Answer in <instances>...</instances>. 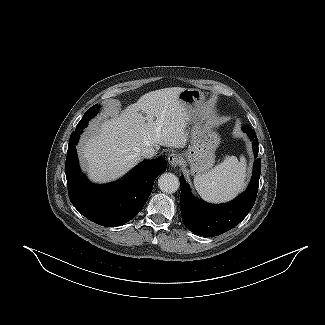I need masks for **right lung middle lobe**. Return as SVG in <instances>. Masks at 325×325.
<instances>
[{
    "instance_id": "1",
    "label": "right lung middle lobe",
    "mask_w": 325,
    "mask_h": 325,
    "mask_svg": "<svg viewBox=\"0 0 325 325\" xmlns=\"http://www.w3.org/2000/svg\"><path fill=\"white\" fill-rule=\"evenodd\" d=\"M99 107H100L99 105H94L88 111H86L85 114H84V116H83V118L80 120V122L76 126V129L80 125H82L83 123H88V121L98 113Z\"/></svg>"
}]
</instances>
